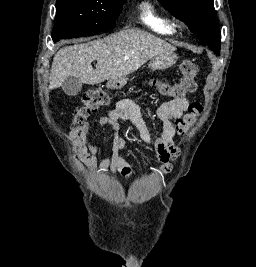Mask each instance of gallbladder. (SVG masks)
<instances>
[{
	"label": "gallbladder",
	"instance_id": "bac80fb5",
	"mask_svg": "<svg viewBox=\"0 0 256 267\" xmlns=\"http://www.w3.org/2000/svg\"><path fill=\"white\" fill-rule=\"evenodd\" d=\"M62 90H64L67 96H78L79 92L82 90V82H80L79 78L69 76V78L64 80Z\"/></svg>",
	"mask_w": 256,
	"mask_h": 267
}]
</instances>
